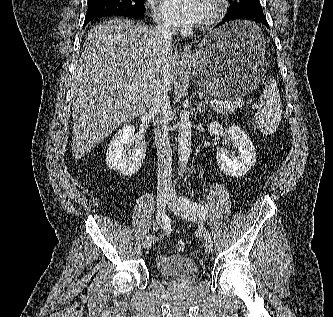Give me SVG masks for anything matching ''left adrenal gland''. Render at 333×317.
Wrapping results in <instances>:
<instances>
[{"label":"left adrenal gland","mask_w":333,"mask_h":317,"mask_svg":"<svg viewBox=\"0 0 333 317\" xmlns=\"http://www.w3.org/2000/svg\"><path fill=\"white\" fill-rule=\"evenodd\" d=\"M204 111L209 112V110L204 107V105L202 104V102H199L198 105H197V112L198 113H202Z\"/></svg>","instance_id":"left-adrenal-gland-1"}]
</instances>
